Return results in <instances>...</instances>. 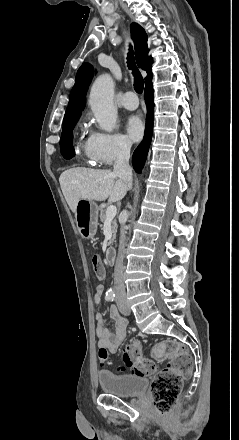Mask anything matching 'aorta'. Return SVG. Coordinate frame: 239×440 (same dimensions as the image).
Here are the masks:
<instances>
[{
    "label": "aorta",
    "instance_id": "aorta-1",
    "mask_svg": "<svg viewBox=\"0 0 239 440\" xmlns=\"http://www.w3.org/2000/svg\"><path fill=\"white\" fill-rule=\"evenodd\" d=\"M114 82L110 74H102L96 78L89 96V106L101 128L113 132L118 116L113 102Z\"/></svg>",
    "mask_w": 239,
    "mask_h": 440
}]
</instances>
